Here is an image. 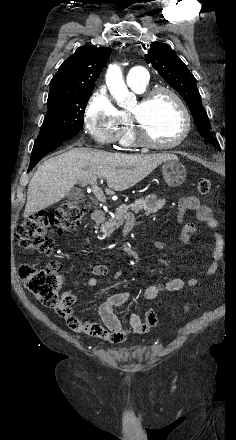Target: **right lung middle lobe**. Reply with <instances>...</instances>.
<instances>
[{"label": "right lung middle lobe", "instance_id": "right-lung-middle-lobe-1", "mask_svg": "<svg viewBox=\"0 0 236 440\" xmlns=\"http://www.w3.org/2000/svg\"><path fill=\"white\" fill-rule=\"evenodd\" d=\"M90 94L47 103V113L37 139L74 136L83 130V115Z\"/></svg>", "mask_w": 236, "mask_h": 440}]
</instances>
